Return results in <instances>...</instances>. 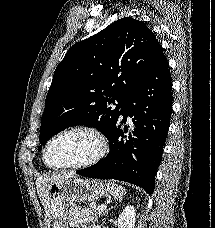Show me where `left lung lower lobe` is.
Returning a JSON list of instances; mask_svg holds the SVG:
<instances>
[{
	"label": "left lung lower lobe",
	"mask_w": 215,
	"mask_h": 228,
	"mask_svg": "<svg viewBox=\"0 0 215 228\" xmlns=\"http://www.w3.org/2000/svg\"><path fill=\"white\" fill-rule=\"evenodd\" d=\"M172 112L171 75L163 49L144 79L127 98L109 140L108 155L95 165L78 170L85 177L116 179L143 188L150 195L155 186V175L160 165ZM132 118L133 134L124 136L120 128L127 117Z\"/></svg>",
	"instance_id": "0a47b994"
}]
</instances>
